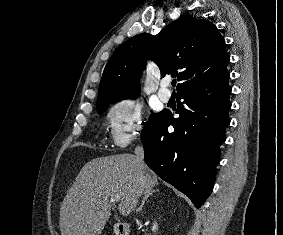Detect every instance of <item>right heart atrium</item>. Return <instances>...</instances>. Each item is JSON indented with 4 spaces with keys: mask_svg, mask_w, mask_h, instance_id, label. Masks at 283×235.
<instances>
[{
    "mask_svg": "<svg viewBox=\"0 0 283 235\" xmlns=\"http://www.w3.org/2000/svg\"><path fill=\"white\" fill-rule=\"evenodd\" d=\"M143 121V110L133 99H123L112 105L107 122L113 145L119 148L127 146L139 135Z\"/></svg>",
    "mask_w": 283,
    "mask_h": 235,
    "instance_id": "obj_1",
    "label": "right heart atrium"
}]
</instances>
